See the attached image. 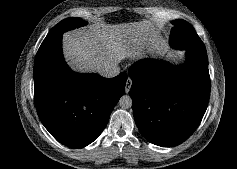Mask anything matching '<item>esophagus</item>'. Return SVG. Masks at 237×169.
Wrapping results in <instances>:
<instances>
[{"label":"esophagus","mask_w":237,"mask_h":169,"mask_svg":"<svg viewBox=\"0 0 237 169\" xmlns=\"http://www.w3.org/2000/svg\"><path fill=\"white\" fill-rule=\"evenodd\" d=\"M131 85H132V80L130 78H128L126 81V86H125L126 93H128L130 91Z\"/></svg>","instance_id":"1"}]
</instances>
